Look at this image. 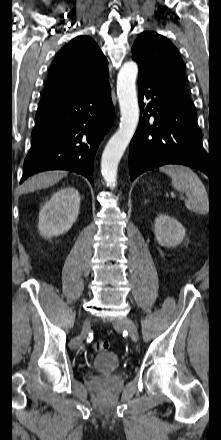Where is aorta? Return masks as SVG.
I'll use <instances>...</instances> for the list:
<instances>
[{
  "label": "aorta",
  "instance_id": "obj_1",
  "mask_svg": "<svg viewBox=\"0 0 221 440\" xmlns=\"http://www.w3.org/2000/svg\"><path fill=\"white\" fill-rule=\"evenodd\" d=\"M138 65L128 61L121 67L117 77V97L120 106V125L109 139L101 160L102 176L110 188L116 187L120 159L130 143L139 122V105L136 93Z\"/></svg>",
  "mask_w": 221,
  "mask_h": 440
}]
</instances>
